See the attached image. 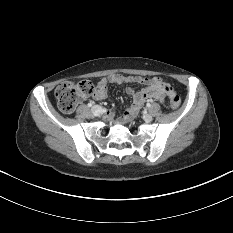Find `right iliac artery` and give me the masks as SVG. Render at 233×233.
I'll return each instance as SVG.
<instances>
[{
	"label": "right iliac artery",
	"mask_w": 233,
	"mask_h": 233,
	"mask_svg": "<svg viewBox=\"0 0 233 233\" xmlns=\"http://www.w3.org/2000/svg\"><path fill=\"white\" fill-rule=\"evenodd\" d=\"M93 102L88 103V107H92Z\"/></svg>",
	"instance_id": "82829eb1"
}]
</instances>
